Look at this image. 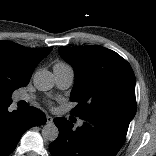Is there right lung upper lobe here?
Instances as JSON below:
<instances>
[{"mask_svg": "<svg viewBox=\"0 0 156 156\" xmlns=\"http://www.w3.org/2000/svg\"><path fill=\"white\" fill-rule=\"evenodd\" d=\"M52 47L26 48L10 41H0V91L25 87L38 63Z\"/></svg>", "mask_w": 156, "mask_h": 156, "instance_id": "cb5924a9", "label": "right lung upper lobe"}]
</instances>
